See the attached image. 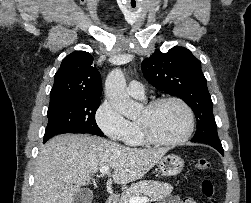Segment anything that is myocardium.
<instances>
[{
    "instance_id": "myocardium-1",
    "label": "myocardium",
    "mask_w": 251,
    "mask_h": 203,
    "mask_svg": "<svg viewBox=\"0 0 251 203\" xmlns=\"http://www.w3.org/2000/svg\"><path fill=\"white\" fill-rule=\"evenodd\" d=\"M169 102L177 103L185 110V112L188 116L187 130L185 131V133L181 137H179L177 139L164 140V139H160L157 136H155V134L152 132V130L150 128L148 121H146V120L139 121L138 120L137 123H138L142 137L145 140V142L152 144V145H156V146H177V145H180V144L186 142L193 134L194 129H195V114H194V111L191 108V106L183 99L176 97V96H168V97L158 98V99H155V100L149 102L145 106V110H146L147 114H151L158 107H160L161 105H163L165 103H169Z\"/></svg>"
}]
</instances>
